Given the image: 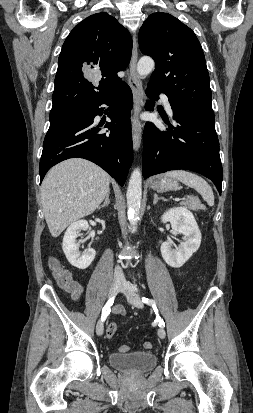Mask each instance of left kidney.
<instances>
[{
	"label": "left kidney",
	"mask_w": 253,
	"mask_h": 413,
	"mask_svg": "<svg viewBox=\"0 0 253 413\" xmlns=\"http://www.w3.org/2000/svg\"><path fill=\"white\" fill-rule=\"evenodd\" d=\"M161 221L170 222L173 232L183 235V241L176 249L172 248L171 242H163L161 245L165 262L173 268H180L200 247L202 236L197 222L184 207L170 208L162 215Z\"/></svg>",
	"instance_id": "5707ae66"
}]
</instances>
